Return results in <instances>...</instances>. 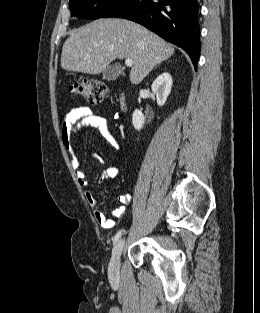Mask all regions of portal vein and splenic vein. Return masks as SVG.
<instances>
[{
  "label": "portal vein and splenic vein",
  "mask_w": 260,
  "mask_h": 313,
  "mask_svg": "<svg viewBox=\"0 0 260 313\" xmlns=\"http://www.w3.org/2000/svg\"><path fill=\"white\" fill-rule=\"evenodd\" d=\"M125 65L128 66V67H132V65H133L132 59H126L125 60Z\"/></svg>",
  "instance_id": "18ae733b"
}]
</instances>
